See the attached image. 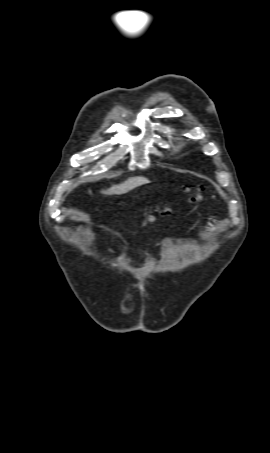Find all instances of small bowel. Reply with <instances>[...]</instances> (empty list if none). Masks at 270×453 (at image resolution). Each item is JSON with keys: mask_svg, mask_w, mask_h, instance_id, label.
I'll use <instances>...</instances> for the list:
<instances>
[{"mask_svg": "<svg viewBox=\"0 0 270 453\" xmlns=\"http://www.w3.org/2000/svg\"><path fill=\"white\" fill-rule=\"evenodd\" d=\"M215 224H216V219L215 218H210L208 223H207V226H206V230H207V233L208 234H211L213 231H214V228H215ZM106 249L112 253L115 252V250L110 247V246H106ZM141 266L140 265H137V267L139 268Z\"/></svg>", "mask_w": 270, "mask_h": 453, "instance_id": "c3829d8e", "label": "small bowel"}]
</instances>
